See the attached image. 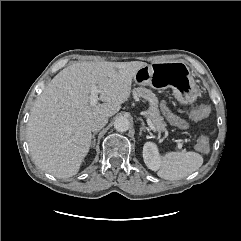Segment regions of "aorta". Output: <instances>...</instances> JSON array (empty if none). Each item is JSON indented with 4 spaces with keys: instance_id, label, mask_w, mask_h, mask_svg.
Returning <instances> with one entry per match:
<instances>
[{
    "instance_id": "obj_1",
    "label": "aorta",
    "mask_w": 241,
    "mask_h": 241,
    "mask_svg": "<svg viewBox=\"0 0 241 241\" xmlns=\"http://www.w3.org/2000/svg\"><path fill=\"white\" fill-rule=\"evenodd\" d=\"M130 127V122L126 117L120 116L114 121V128L118 132H126Z\"/></svg>"
}]
</instances>
